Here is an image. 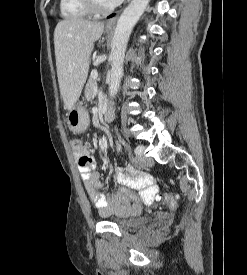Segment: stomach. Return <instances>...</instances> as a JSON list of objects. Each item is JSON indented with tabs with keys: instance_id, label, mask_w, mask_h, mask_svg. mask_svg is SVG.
<instances>
[{
	"instance_id": "stomach-1",
	"label": "stomach",
	"mask_w": 247,
	"mask_h": 275,
	"mask_svg": "<svg viewBox=\"0 0 247 275\" xmlns=\"http://www.w3.org/2000/svg\"><path fill=\"white\" fill-rule=\"evenodd\" d=\"M106 31H109L106 29ZM67 121L69 128L74 132H83L89 125V115L80 104L74 105L68 112Z\"/></svg>"
}]
</instances>
